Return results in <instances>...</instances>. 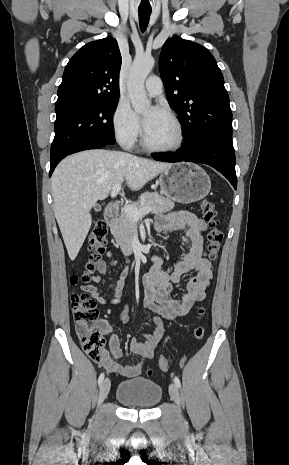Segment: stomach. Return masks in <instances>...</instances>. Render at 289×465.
Masks as SVG:
<instances>
[{
  "label": "stomach",
  "instance_id": "1",
  "mask_svg": "<svg viewBox=\"0 0 289 465\" xmlns=\"http://www.w3.org/2000/svg\"><path fill=\"white\" fill-rule=\"evenodd\" d=\"M161 192L179 203H194L206 197L211 189L207 173L193 163H175L159 177Z\"/></svg>",
  "mask_w": 289,
  "mask_h": 465
}]
</instances>
